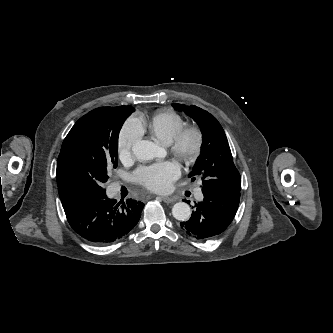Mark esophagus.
<instances>
[{"label":"esophagus","mask_w":333,"mask_h":333,"mask_svg":"<svg viewBox=\"0 0 333 333\" xmlns=\"http://www.w3.org/2000/svg\"><path fill=\"white\" fill-rule=\"evenodd\" d=\"M161 198H162V200H163L165 203H167V204H169V203H173V202L176 201L175 198H173V197H161Z\"/></svg>","instance_id":"34e87169"}]
</instances>
